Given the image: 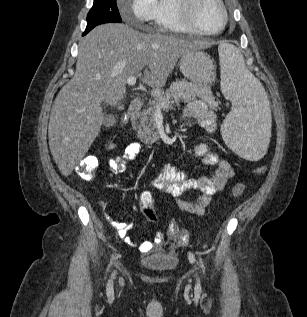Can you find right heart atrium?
<instances>
[{"instance_id":"right-heart-atrium-1","label":"right heart atrium","mask_w":307,"mask_h":317,"mask_svg":"<svg viewBox=\"0 0 307 317\" xmlns=\"http://www.w3.org/2000/svg\"><path fill=\"white\" fill-rule=\"evenodd\" d=\"M157 14L158 0H130V3L123 9V17L125 19H133L140 23L154 21Z\"/></svg>"}]
</instances>
